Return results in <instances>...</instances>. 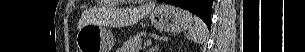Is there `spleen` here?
I'll return each instance as SVG.
<instances>
[{
	"mask_svg": "<svg viewBox=\"0 0 305 52\" xmlns=\"http://www.w3.org/2000/svg\"><path fill=\"white\" fill-rule=\"evenodd\" d=\"M207 27L205 23L198 17H194V26L188 31L187 38L194 42H202L207 37Z\"/></svg>",
	"mask_w": 305,
	"mask_h": 52,
	"instance_id": "3e777b00",
	"label": "spleen"
}]
</instances>
